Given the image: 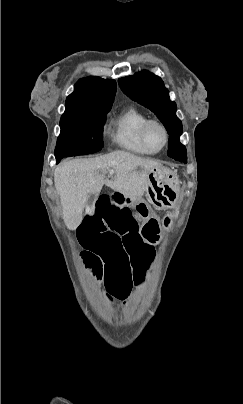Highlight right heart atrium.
I'll use <instances>...</instances> for the list:
<instances>
[{"label":"right heart atrium","mask_w":243,"mask_h":404,"mask_svg":"<svg viewBox=\"0 0 243 404\" xmlns=\"http://www.w3.org/2000/svg\"><path fill=\"white\" fill-rule=\"evenodd\" d=\"M101 133H102L103 136H106V135H107V133H108V127H107V125H103V126H102V128H101Z\"/></svg>","instance_id":"right-heart-atrium-1"}]
</instances>
